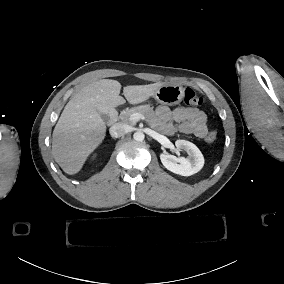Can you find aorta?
Segmentation results:
<instances>
[{
  "label": "aorta",
  "instance_id": "aorta-1",
  "mask_svg": "<svg viewBox=\"0 0 284 284\" xmlns=\"http://www.w3.org/2000/svg\"><path fill=\"white\" fill-rule=\"evenodd\" d=\"M144 137H145V135L142 132H140V131L135 132L134 135H133L134 140H136L138 142L143 141Z\"/></svg>",
  "mask_w": 284,
  "mask_h": 284
}]
</instances>
